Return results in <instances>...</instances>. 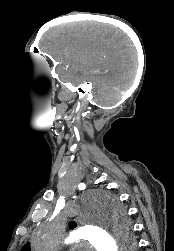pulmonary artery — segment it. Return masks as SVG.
Here are the masks:
<instances>
[{"instance_id":"pulmonary-artery-1","label":"pulmonary artery","mask_w":174,"mask_h":251,"mask_svg":"<svg viewBox=\"0 0 174 251\" xmlns=\"http://www.w3.org/2000/svg\"><path fill=\"white\" fill-rule=\"evenodd\" d=\"M84 246H85V247H88V248L90 247V245H89V244H84Z\"/></svg>"}]
</instances>
